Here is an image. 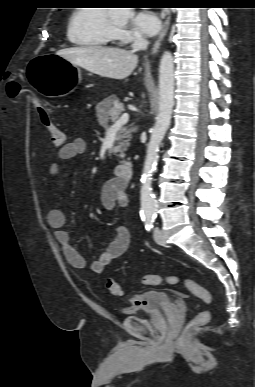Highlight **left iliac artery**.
<instances>
[{"label":"left iliac artery","mask_w":255,"mask_h":387,"mask_svg":"<svg viewBox=\"0 0 255 387\" xmlns=\"http://www.w3.org/2000/svg\"><path fill=\"white\" fill-rule=\"evenodd\" d=\"M145 222V228L147 231H151V229L153 228V224H154V218L151 217V218H146L143 220Z\"/></svg>","instance_id":"left-iliac-artery-1"}]
</instances>
